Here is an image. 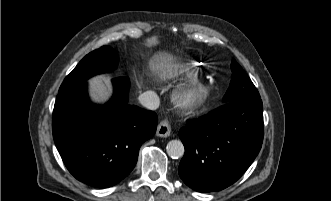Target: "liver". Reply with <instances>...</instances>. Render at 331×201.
<instances>
[{
	"mask_svg": "<svg viewBox=\"0 0 331 201\" xmlns=\"http://www.w3.org/2000/svg\"><path fill=\"white\" fill-rule=\"evenodd\" d=\"M151 70L160 76L170 75L176 68L173 57L168 53L155 54L149 62ZM108 77L101 75L95 76L89 80L90 94L94 101H106L111 94V85Z\"/></svg>",
	"mask_w": 331,
	"mask_h": 201,
	"instance_id": "1",
	"label": "liver"
}]
</instances>
